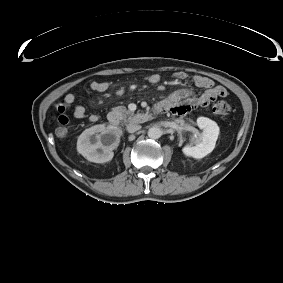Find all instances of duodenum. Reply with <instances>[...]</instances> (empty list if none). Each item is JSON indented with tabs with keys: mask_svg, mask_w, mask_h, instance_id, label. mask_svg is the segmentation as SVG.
Masks as SVG:
<instances>
[{
	"mask_svg": "<svg viewBox=\"0 0 283 283\" xmlns=\"http://www.w3.org/2000/svg\"><path fill=\"white\" fill-rule=\"evenodd\" d=\"M162 108H164L161 104L159 105V107L157 108V110H161ZM108 123L111 126H117L118 124V118L115 115L110 114L107 118Z\"/></svg>",
	"mask_w": 283,
	"mask_h": 283,
	"instance_id": "obj_1",
	"label": "duodenum"
}]
</instances>
